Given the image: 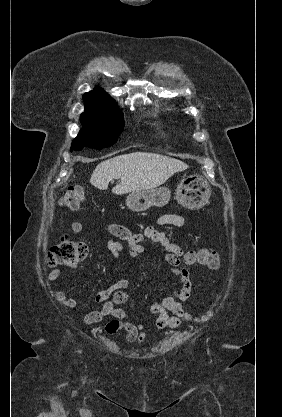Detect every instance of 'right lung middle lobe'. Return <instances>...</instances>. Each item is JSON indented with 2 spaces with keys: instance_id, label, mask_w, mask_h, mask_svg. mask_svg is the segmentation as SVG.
<instances>
[{
  "instance_id": "obj_1",
  "label": "right lung middle lobe",
  "mask_w": 282,
  "mask_h": 417,
  "mask_svg": "<svg viewBox=\"0 0 282 417\" xmlns=\"http://www.w3.org/2000/svg\"><path fill=\"white\" fill-rule=\"evenodd\" d=\"M85 110L80 117L83 125L74 139L72 150L91 147L98 150L112 146L124 128V118L114 100H84Z\"/></svg>"
}]
</instances>
